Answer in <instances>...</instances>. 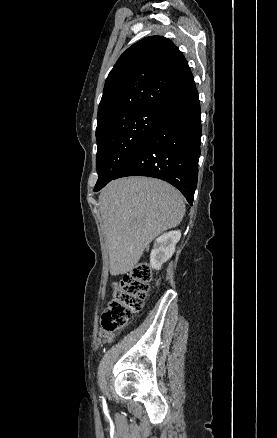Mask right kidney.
I'll return each mask as SVG.
<instances>
[{"mask_svg": "<svg viewBox=\"0 0 277 438\" xmlns=\"http://www.w3.org/2000/svg\"><path fill=\"white\" fill-rule=\"evenodd\" d=\"M181 238L180 230L166 232L159 238H156L153 250L150 254V264L153 270H161L162 264L170 260L175 252V246Z\"/></svg>", "mask_w": 277, "mask_h": 438, "instance_id": "obj_1", "label": "right kidney"}]
</instances>
